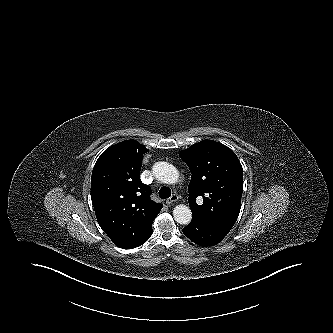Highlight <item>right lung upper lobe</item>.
I'll return each mask as SVG.
<instances>
[{"instance_id": "cb5924a9", "label": "right lung upper lobe", "mask_w": 333, "mask_h": 333, "mask_svg": "<svg viewBox=\"0 0 333 333\" xmlns=\"http://www.w3.org/2000/svg\"><path fill=\"white\" fill-rule=\"evenodd\" d=\"M147 151L135 140L117 143L100 155L92 172L91 200L98 223L123 249L148 240L163 207L150 200L151 190L139 177Z\"/></svg>"}]
</instances>
